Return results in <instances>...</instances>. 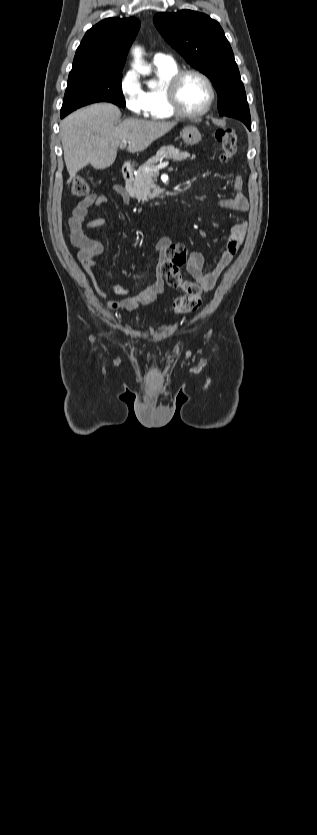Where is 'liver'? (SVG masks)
I'll list each match as a JSON object with an SVG mask.
<instances>
[{
	"label": "liver",
	"mask_w": 317,
	"mask_h": 835,
	"mask_svg": "<svg viewBox=\"0 0 317 835\" xmlns=\"http://www.w3.org/2000/svg\"><path fill=\"white\" fill-rule=\"evenodd\" d=\"M120 116L121 112L115 105L96 103L62 120L60 137L70 175L68 182L89 163L96 169L112 165L117 149L124 141L129 142L128 152H142L177 124L131 118L115 125Z\"/></svg>",
	"instance_id": "obj_1"
}]
</instances>
